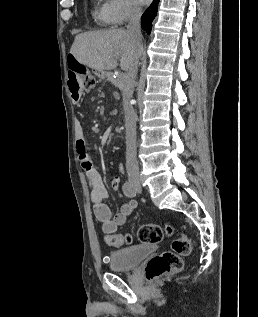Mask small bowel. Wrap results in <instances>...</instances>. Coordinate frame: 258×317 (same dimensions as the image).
I'll return each instance as SVG.
<instances>
[{
	"label": "small bowel",
	"mask_w": 258,
	"mask_h": 317,
	"mask_svg": "<svg viewBox=\"0 0 258 317\" xmlns=\"http://www.w3.org/2000/svg\"><path fill=\"white\" fill-rule=\"evenodd\" d=\"M74 137L79 161L90 187V196L94 214L101 223L103 232L105 234H113L120 226L126 223L128 216H130L136 209L137 203L134 200H130L122 205L120 212L116 214L112 213V210L106 202L108 199V191L103 183L100 173L94 167L89 157L84 128L79 120L74 122ZM120 185L121 178L119 176L113 177L111 180L112 188L117 190Z\"/></svg>",
	"instance_id": "small-bowel-1"
}]
</instances>
